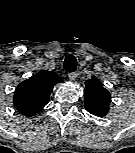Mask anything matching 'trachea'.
<instances>
[{
	"mask_svg": "<svg viewBox=\"0 0 135 153\" xmlns=\"http://www.w3.org/2000/svg\"><path fill=\"white\" fill-rule=\"evenodd\" d=\"M77 67L76 57L72 54L66 56L64 60V70L68 72H75Z\"/></svg>",
	"mask_w": 135,
	"mask_h": 153,
	"instance_id": "1",
	"label": "trachea"
}]
</instances>
